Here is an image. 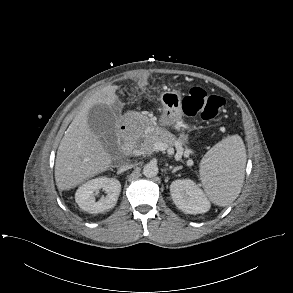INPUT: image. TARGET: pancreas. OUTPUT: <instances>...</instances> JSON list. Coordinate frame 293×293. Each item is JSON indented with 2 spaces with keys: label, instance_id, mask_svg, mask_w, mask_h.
I'll return each mask as SVG.
<instances>
[{
  "label": "pancreas",
  "instance_id": "obj_1",
  "mask_svg": "<svg viewBox=\"0 0 293 293\" xmlns=\"http://www.w3.org/2000/svg\"><path fill=\"white\" fill-rule=\"evenodd\" d=\"M142 143L138 148V152L142 154H152L156 149L154 144L157 142L166 143L168 146H172L176 141V137L173 136L167 130L155 127L147 130L141 135Z\"/></svg>",
  "mask_w": 293,
  "mask_h": 293
}]
</instances>
